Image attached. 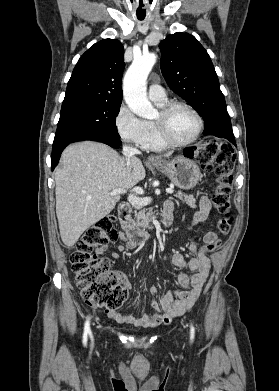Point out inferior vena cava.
<instances>
[{
    "label": "inferior vena cava",
    "mask_w": 279,
    "mask_h": 391,
    "mask_svg": "<svg viewBox=\"0 0 279 391\" xmlns=\"http://www.w3.org/2000/svg\"><path fill=\"white\" fill-rule=\"evenodd\" d=\"M123 154L128 159V165L130 166L131 160L133 158H135V155L140 154V151L138 149L134 148V147H130V146H126L125 145V146H123ZM128 200L132 204L133 207H135L137 209L141 208L140 200L135 195L130 194L129 197H128Z\"/></svg>",
    "instance_id": "602c4592"
}]
</instances>
